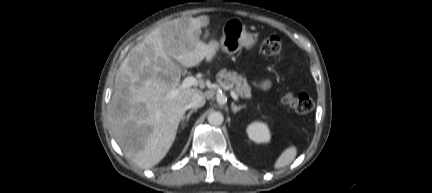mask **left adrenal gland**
Returning <instances> with one entry per match:
<instances>
[{
	"mask_svg": "<svg viewBox=\"0 0 432 193\" xmlns=\"http://www.w3.org/2000/svg\"><path fill=\"white\" fill-rule=\"evenodd\" d=\"M245 107H246L245 105L236 106L234 103L231 104V108L234 114L239 112L241 109H244Z\"/></svg>",
	"mask_w": 432,
	"mask_h": 193,
	"instance_id": "obj_1",
	"label": "left adrenal gland"
}]
</instances>
